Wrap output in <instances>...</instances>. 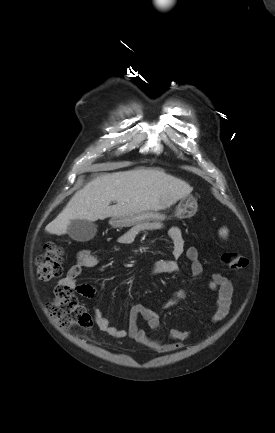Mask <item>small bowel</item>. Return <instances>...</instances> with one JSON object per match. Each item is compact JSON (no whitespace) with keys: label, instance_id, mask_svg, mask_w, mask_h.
I'll return each mask as SVG.
<instances>
[{"label":"small bowel","instance_id":"small-bowel-1","mask_svg":"<svg viewBox=\"0 0 275 433\" xmlns=\"http://www.w3.org/2000/svg\"><path fill=\"white\" fill-rule=\"evenodd\" d=\"M138 233L139 229H130L119 237V243L123 245L133 243ZM169 237L173 245V258L157 261L149 268L148 275L153 277L160 274H173L178 272L177 259L185 254L191 262L190 269L192 277H199L203 272V266L199 260L197 248H184L182 231L177 226L170 228ZM99 262V257L89 250L80 251L77 255L76 263L69 269L66 276L61 279L59 285L65 286L85 298H95L97 295L96 289L88 283L79 282L78 279L84 268H94L99 264ZM209 285L211 290L216 293L215 310L211 320L213 322H218L223 320L229 314L232 305L233 286L230 280L219 272H215L211 275ZM184 295L183 292H180L178 297L181 298L184 297ZM94 316L96 324L101 331L116 338L129 337L143 346L160 353L172 352L182 348L184 342L190 336L189 332L175 328L171 329L169 332V342L150 336L144 329H141L138 326V319L142 318L152 331H158L160 329L159 316L141 303L134 304L130 309L127 329L112 326L108 319L98 309L94 310Z\"/></svg>","mask_w":275,"mask_h":433}]
</instances>
